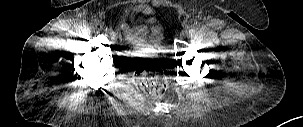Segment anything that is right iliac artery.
<instances>
[{
  "label": "right iliac artery",
  "instance_id": "right-iliac-artery-1",
  "mask_svg": "<svg viewBox=\"0 0 303 127\" xmlns=\"http://www.w3.org/2000/svg\"><path fill=\"white\" fill-rule=\"evenodd\" d=\"M92 24H93L94 26H97V25L99 24V21H98V20H94V21L92 22Z\"/></svg>",
  "mask_w": 303,
  "mask_h": 127
}]
</instances>
